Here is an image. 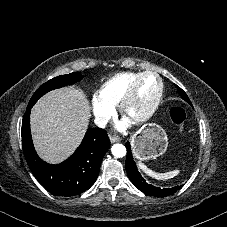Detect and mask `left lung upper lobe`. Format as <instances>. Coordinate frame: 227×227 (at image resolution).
<instances>
[{
  "label": "left lung upper lobe",
  "mask_w": 227,
  "mask_h": 227,
  "mask_svg": "<svg viewBox=\"0 0 227 227\" xmlns=\"http://www.w3.org/2000/svg\"><path fill=\"white\" fill-rule=\"evenodd\" d=\"M176 87H177L178 93H179V95H181L182 99L185 100L186 102H188L189 104H191L186 93L181 88H179L178 86H176Z\"/></svg>",
  "instance_id": "5c2ea615"
}]
</instances>
